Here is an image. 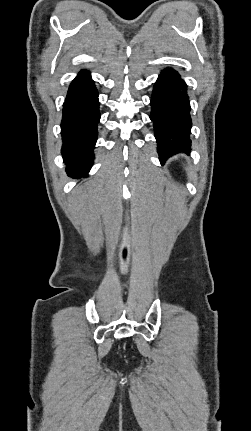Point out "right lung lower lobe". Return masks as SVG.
Listing matches in <instances>:
<instances>
[{
	"label": "right lung lower lobe",
	"instance_id": "1",
	"mask_svg": "<svg viewBox=\"0 0 251 431\" xmlns=\"http://www.w3.org/2000/svg\"><path fill=\"white\" fill-rule=\"evenodd\" d=\"M99 120L98 92L90 73L83 70L71 82L63 105L62 155L68 174L87 176L94 159Z\"/></svg>",
	"mask_w": 251,
	"mask_h": 431
}]
</instances>
